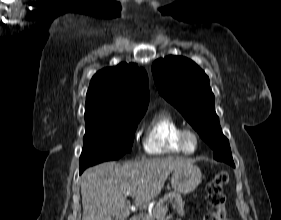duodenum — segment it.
<instances>
[{
	"mask_svg": "<svg viewBox=\"0 0 281 220\" xmlns=\"http://www.w3.org/2000/svg\"><path fill=\"white\" fill-rule=\"evenodd\" d=\"M129 220H139V218H138V217L133 216V217H131Z\"/></svg>",
	"mask_w": 281,
	"mask_h": 220,
	"instance_id": "duodenum-1",
	"label": "duodenum"
}]
</instances>
